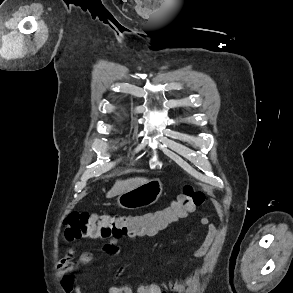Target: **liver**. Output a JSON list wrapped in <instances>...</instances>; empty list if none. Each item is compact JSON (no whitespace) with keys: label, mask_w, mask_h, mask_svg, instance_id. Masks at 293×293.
<instances>
[{"label":"liver","mask_w":293,"mask_h":293,"mask_svg":"<svg viewBox=\"0 0 293 293\" xmlns=\"http://www.w3.org/2000/svg\"><path fill=\"white\" fill-rule=\"evenodd\" d=\"M148 180L146 178L141 177H135V178H129L126 180H117L111 190L106 194L107 198H112L117 195H120L124 192H127L129 190H132Z\"/></svg>","instance_id":"obj_1"}]
</instances>
